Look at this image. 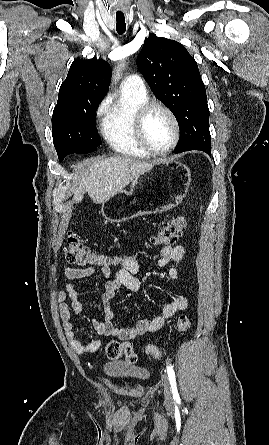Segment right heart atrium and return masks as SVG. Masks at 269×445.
<instances>
[{
	"instance_id": "obj_1",
	"label": "right heart atrium",
	"mask_w": 269,
	"mask_h": 445,
	"mask_svg": "<svg viewBox=\"0 0 269 445\" xmlns=\"http://www.w3.org/2000/svg\"><path fill=\"white\" fill-rule=\"evenodd\" d=\"M108 108V99H104L101 101V103L98 105L96 109V115L101 116L106 113Z\"/></svg>"
}]
</instances>
